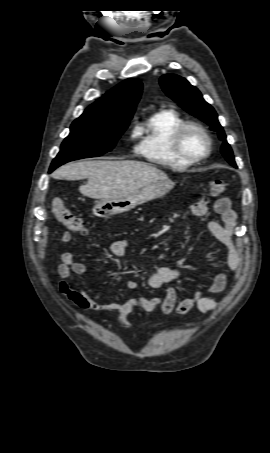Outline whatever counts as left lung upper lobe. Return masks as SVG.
Returning a JSON list of instances; mask_svg holds the SVG:
<instances>
[{
    "mask_svg": "<svg viewBox=\"0 0 270 453\" xmlns=\"http://www.w3.org/2000/svg\"><path fill=\"white\" fill-rule=\"evenodd\" d=\"M160 85L166 95L193 116L201 119L218 132L219 138L224 141L221 152L226 160L234 167L236 163L230 145L226 141V135L219 124L217 114L213 107L202 97L200 91L192 86L185 78L174 74H166L160 78Z\"/></svg>",
    "mask_w": 270,
    "mask_h": 453,
    "instance_id": "5c2ea615",
    "label": "left lung upper lobe"
}]
</instances>
